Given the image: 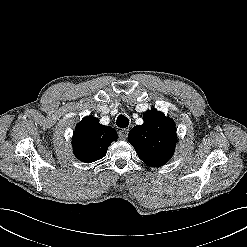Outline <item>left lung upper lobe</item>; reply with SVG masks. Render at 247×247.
<instances>
[{
	"label": "left lung upper lobe",
	"instance_id": "obj_1",
	"mask_svg": "<svg viewBox=\"0 0 247 247\" xmlns=\"http://www.w3.org/2000/svg\"><path fill=\"white\" fill-rule=\"evenodd\" d=\"M143 119L142 125L130 130L128 141L144 163L153 167L162 166L174 153L177 140L175 124L155 109L148 110Z\"/></svg>",
	"mask_w": 247,
	"mask_h": 247
}]
</instances>
